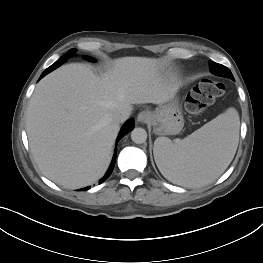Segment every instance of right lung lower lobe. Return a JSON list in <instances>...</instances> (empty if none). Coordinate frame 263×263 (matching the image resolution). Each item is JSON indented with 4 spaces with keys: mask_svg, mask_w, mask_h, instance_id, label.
I'll list each match as a JSON object with an SVG mask.
<instances>
[{
    "mask_svg": "<svg viewBox=\"0 0 263 263\" xmlns=\"http://www.w3.org/2000/svg\"><path fill=\"white\" fill-rule=\"evenodd\" d=\"M67 60L66 57H61L58 61H56L53 65H51L50 67H48L43 73L42 75L40 76L39 80L41 78H43L46 74L50 73L51 71H53L54 69H56L57 67H59L60 65H62L65 61ZM134 128V121L132 119L128 120L125 125L123 126L119 136H118V140L120 138H122L124 135H126L129 131H131L132 129ZM116 151H115V154H114V157H113V160H112V163L108 169V171L106 172L104 178L102 179V181H104L105 179H107L110 174L112 173L113 169H114V166H115V161H116ZM90 189V187H86L84 189H81V190H88Z\"/></svg>",
    "mask_w": 263,
    "mask_h": 263,
    "instance_id": "1",
    "label": "right lung lower lobe"
}]
</instances>
